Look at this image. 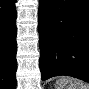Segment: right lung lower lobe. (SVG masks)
Wrapping results in <instances>:
<instances>
[{
  "instance_id": "obj_1",
  "label": "right lung lower lobe",
  "mask_w": 89,
  "mask_h": 89,
  "mask_svg": "<svg viewBox=\"0 0 89 89\" xmlns=\"http://www.w3.org/2000/svg\"><path fill=\"white\" fill-rule=\"evenodd\" d=\"M16 8L14 0H5L0 11V72L8 89L16 88Z\"/></svg>"
}]
</instances>
